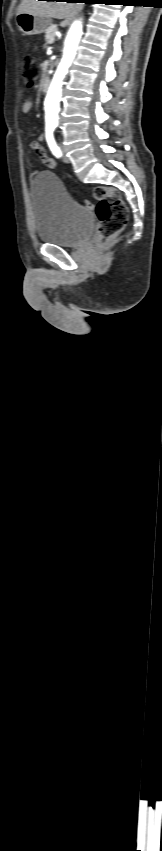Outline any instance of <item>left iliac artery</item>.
<instances>
[{
    "instance_id": "44dca946",
    "label": "left iliac artery",
    "mask_w": 162,
    "mask_h": 851,
    "mask_svg": "<svg viewBox=\"0 0 162 851\" xmlns=\"http://www.w3.org/2000/svg\"><path fill=\"white\" fill-rule=\"evenodd\" d=\"M56 126H57L56 124H47L46 125V141H47L48 146H49L51 152L53 153V155L56 156L57 158H59V157L62 156V153H61L60 148L56 144V141H55V138H54V135H53V132H54V129L56 128Z\"/></svg>"
}]
</instances>
